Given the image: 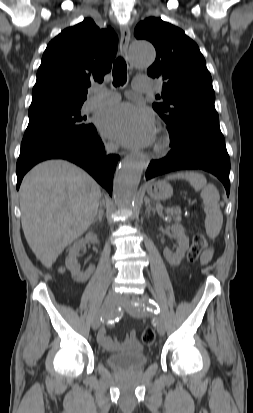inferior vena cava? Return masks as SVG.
Here are the masks:
<instances>
[{"instance_id":"inferior-vena-cava-1","label":"inferior vena cava","mask_w":253,"mask_h":413,"mask_svg":"<svg viewBox=\"0 0 253 413\" xmlns=\"http://www.w3.org/2000/svg\"><path fill=\"white\" fill-rule=\"evenodd\" d=\"M113 149H114L113 147H109V148H108L109 151H112Z\"/></svg>"}]
</instances>
